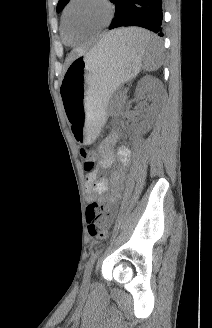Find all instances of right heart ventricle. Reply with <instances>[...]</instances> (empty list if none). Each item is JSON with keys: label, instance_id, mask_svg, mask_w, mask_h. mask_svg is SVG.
<instances>
[{"label": "right heart ventricle", "instance_id": "right-heart-ventricle-1", "mask_svg": "<svg viewBox=\"0 0 212 328\" xmlns=\"http://www.w3.org/2000/svg\"><path fill=\"white\" fill-rule=\"evenodd\" d=\"M62 35H63V39H64L65 43H67L69 45L75 44L78 40L77 36H74L73 34H71L69 31H67L65 29L63 20H62Z\"/></svg>", "mask_w": 212, "mask_h": 328}]
</instances>
